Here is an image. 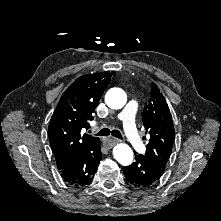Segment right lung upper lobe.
<instances>
[{
    "label": "right lung upper lobe",
    "mask_w": 221,
    "mask_h": 221,
    "mask_svg": "<svg viewBox=\"0 0 221 221\" xmlns=\"http://www.w3.org/2000/svg\"><path fill=\"white\" fill-rule=\"evenodd\" d=\"M115 72L86 74L63 93L48 127L49 142L58 169L99 138L81 134L89 128L93 113Z\"/></svg>",
    "instance_id": "right-lung-upper-lobe-1"
}]
</instances>
